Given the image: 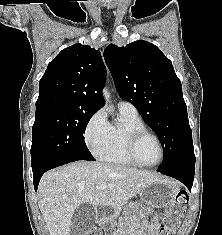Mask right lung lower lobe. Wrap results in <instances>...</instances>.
<instances>
[{"mask_svg":"<svg viewBox=\"0 0 222 235\" xmlns=\"http://www.w3.org/2000/svg\"><path fill=\"white\" fill-rule=\"evenodd\" d=\"M73 161H77V160H76V159H73V160L55 161V162L46 164L45 166H43L42 168H40V169H38V170L33 171L35 190H37L39 181H40L42 175H43L46 171H48V170H50V169H52V168H55V167H58V166H61V165H64V164L73 162Z\"/></svg>","mask_w":222,"mask_h":235,"instance_id":"1","label":"right lung lower lobe"}]
</instances>
